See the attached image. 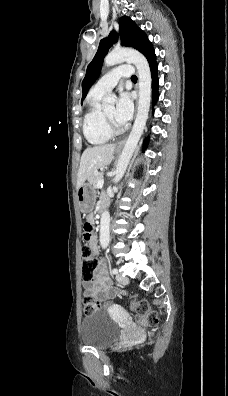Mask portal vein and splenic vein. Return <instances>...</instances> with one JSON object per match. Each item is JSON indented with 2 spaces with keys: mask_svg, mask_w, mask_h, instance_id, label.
<instances>
[{
  "mask_svg": "<svg viewBox=\"0 0 228 396\" xmlns=\"http://www.w3.org/2000/svg\"><path fill=\"white\" fill-rule=\"evenodd\" d=\"M103 184H104V179L102 178L101 180L98 181L96 188H101Z\"/></svg>",
  "mask_w": 228,
  "mask_h": 396,
  "instance_id": "portal-vein-and-splenic-vein-1",
  "label": "portal vein and splenic vein"
}]
</instances>
